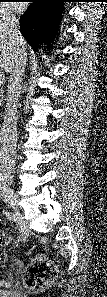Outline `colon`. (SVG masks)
Returning <instances> with one entry per match:
<instances>
[{"label":"colon","instance_id":"1","mask_svg":"<svg viewBox=\"0 0 107 297\" xmlns=\"http://www.w3.org/2000/svg\"><path fill=\"white\" fill-rule=\"evenodd\" d=\"M10 241L9 236L2 234L0 243L5 245ZM55 268L46 260L36 259L28 268L25 284L35 291L43 290L54 278Z\"/></svg>","mask_w":107,"mask_h":297}]
</instances>
